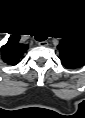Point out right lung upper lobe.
Returning <instances> with one entry per match:
<instances>
[{"instance_id": "right-lung-upper-lobe-1", "label": "right lung upper lobe", "mask_w": 85, "mask_h": 118, "mask_svg": "<svg viewBox=\"0 0 85 118\" xmlns=\"http://www.w3.org/2000/svg\"><path fill=\"white\" fill-rule=\"evenodd\" d=\"M25 48H15V47H9L8 48V56H9V62L12 64H16L18 62L19 57L23 54Z\"/></svg>"}]
</instances>
